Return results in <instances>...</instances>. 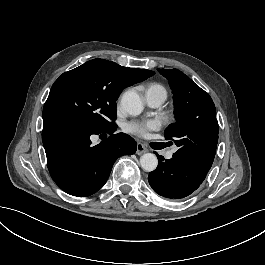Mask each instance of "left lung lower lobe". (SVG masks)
Listing matches in <instances>:
<instances>
[{
    "mask_svg": "<svg viewBox=\"0 0 265 265\" xmlns=\"http://www.w3.org/2000/svg\"><path fill=\"white\" fill-rule=\"evenodd\" d=\"M158 159V167L149 173L148 181L160 196L183 199L198 189L205 179L179 159L164 161L162 156H158Z\"/></svg>",
    "mask_w": 265,
    "mask_h": 265,
    "instance_id": "1",
    "label": "left lung lower lobe"
}]
</instances>
